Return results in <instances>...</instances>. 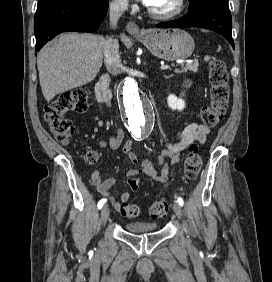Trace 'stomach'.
<instances>
[{"mask_svg": "<svg viewBox=\"0 0 272 282\" xmlns=\"http://www.w3.org/2000/svg\"><path fill=\"white\" fill-rule=\"evenodd\" d=\"M156 57L167 61L188 58L194 51V40L181 29H147L136 35Z\"/></svg>", "mask_w": 272, "mask_h": 282, "instance_id": "0dacf381", "label": "stomach"}]
</instances>
